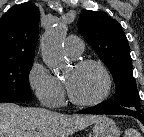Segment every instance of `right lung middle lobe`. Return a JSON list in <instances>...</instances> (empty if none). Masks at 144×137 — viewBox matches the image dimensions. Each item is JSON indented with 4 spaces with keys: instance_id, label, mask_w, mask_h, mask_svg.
<instances>
[{
    "instance_id": "right-lung-middle-lobe-1",
    "label": "right lung middle lobe",
    "mask_w": 144,
    "mask_h": 137,
    "mask_svg": "<svg viewBox=\"0 0 144 137\" xmlns=\"http://www.w3.org/2000/svg\"><path fill=\"white\" fill-rule=\"evenodd\" d=\"M33 58L0 62V100L29 101V73Z\"/></svg>"
}]
</instances>
